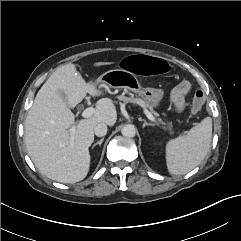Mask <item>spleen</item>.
<instances>
[{"instance_id": "1", "label": "spleen", "mask_w": 241, "mask_h": 241, "mask_svg": "<svg viewBox=\"0 0 241 241\" xmlns=\"http://www.w3.org/2000/svg\"><path fill=\"white\" fill-rule=\"evenodd\" d=\"M212 137V119L207 117L187 135L166 144V164L170 174L183 175L198 166L207 155Z\"/></svg>"}]
</instances>
